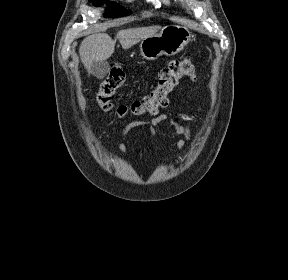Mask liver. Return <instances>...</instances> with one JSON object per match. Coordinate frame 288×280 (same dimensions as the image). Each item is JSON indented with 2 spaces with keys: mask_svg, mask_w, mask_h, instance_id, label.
Returning a JSON list of instances; mask_svg holds the SVG:
<instances>
[{
  "mask_svg": "<svg viewBox=\"0 0 288 280\" xmlns=\"http://www.w3.org/2000/svg\"><path fill=\"white\" fill-rule=\"evenodd\" d=\"M159 29L158 26L124 29L117 33L115 39L106 33L90 35L81 42V61L86 69H90L93 62L106 61L111 57L117 39L123 49H129L140 40L156 35Z\"/></svg>",
  "mask_w": 288,
  "mask_h": 280,
  "instance_id": "1",
  "label": "liver"
}]
</instances>
